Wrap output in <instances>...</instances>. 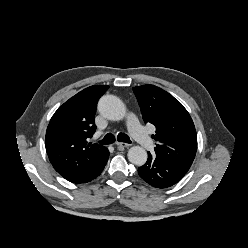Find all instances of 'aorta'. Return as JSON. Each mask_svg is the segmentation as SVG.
<instances>
[{
	"label": "aorta",
	"instance_id": "obj_1",
	"mask_svg": "<svg viewBox=\"0 0 248 248\" xmlns=\"http://www.w3.org/2000/svg\"><path fill=\"white\" fill-rule=\"evenodd\" d=\"M98 111L109 120L119 121L124 118L126 107L118 97L105 95L98 102ZM128 160L137 166H142L147 161V152L140 146H133L128 151Z\"/></svg>",
	"mask_w": 248,
	"mask_h": 248
}]
</instances>
